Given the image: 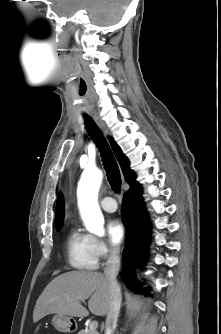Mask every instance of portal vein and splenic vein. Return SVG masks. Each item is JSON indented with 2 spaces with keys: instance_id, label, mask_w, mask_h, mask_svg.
Returning a JSON list of instances; mask_svg holds the SVG:
<instances>
[{
  "instance_id": "18ae733b",
  "label": "portal vein and splenic vein",
  "mask_w": 221,
  "mask_h": 334,
  "mask_svg": "<svg viewBox=\"0 0 221 334\" xmlns=\"http://www.w3.org/2000/svg\"><path fill=\"white\" fill-rule=\"evenodd\" d=\"M97 327H98V322L97 321H92L89 325V329L91 331H96Z\"/></svg>"
}]
</instances>
